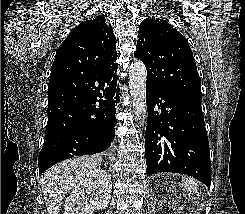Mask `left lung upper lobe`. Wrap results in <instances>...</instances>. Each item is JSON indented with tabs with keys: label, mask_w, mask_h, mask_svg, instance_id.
<instances>
[{
	"label": "left lung upper lobe",
	"mask_w": 245,
	"mask_h": 214,
	"mask_svg": "<svg viewBox=\"0 0 245 214\" xmlns=\"http://www.w3.org/2000/svg\"><path fill=\"white\" fill-rule=\"evenodd\" d=\"M134 56L147 69V84L172 93L202 95L193 53L186 38L168 22L145 19L138 32Z\"/></svg>",
	"instance_id": "1"
}]
</instances>
